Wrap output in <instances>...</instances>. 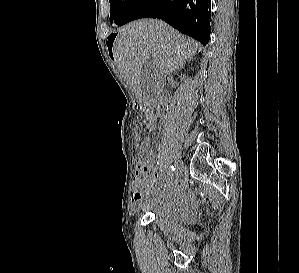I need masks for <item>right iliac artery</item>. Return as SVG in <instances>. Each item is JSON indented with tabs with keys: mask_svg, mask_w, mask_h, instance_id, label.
Segmentation results:
<instances>
[{
	"mask_svg": "<svg viewBox=\"0 0 299 273\" xmlns=\"http://www.w3.org/2000/svg\"><path fill=\"white\" fill-rule=\"evenodd\" d=\"M174 171H175V167L173 165L170 166L169 175H173Z\"/></svg>",
	"mask_w": 299,
	"mask_h": 273,
	"instance_id": "right-iliac-artery-1",
	"label": "right iliac artery"
}]
</instances>
